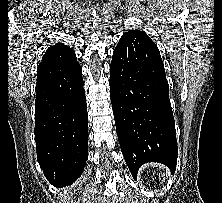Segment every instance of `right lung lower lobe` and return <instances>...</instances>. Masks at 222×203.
<instances>
[{
  "instance_id": "obj_1",
  "label": "right lung lower lobe",
  "mask_w": 222,
  "mask_h": 203,
  "mask_svg": "<svg viewBox=\"0 0 222 203\" xmlns=\"http://www.w3.org/2000/svg\"><path fill=\"white\" fill-rule=\"evenodd\" d=\"M35 141L44 175L56 187L72 184L88 156V114L76 60L37 68Z\"/></svg>"
}]
</instances>
